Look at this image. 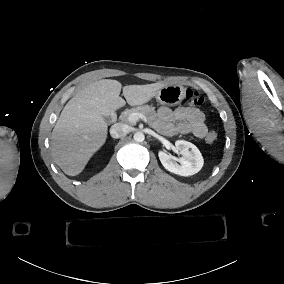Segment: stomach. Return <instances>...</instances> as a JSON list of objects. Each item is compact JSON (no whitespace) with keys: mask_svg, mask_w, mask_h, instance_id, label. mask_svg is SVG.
Returning a JSON list of instances; mask_svg holds the SVG:
<instances>
[{"mask_svg":"<svg viewBox=\"0 0 284 284\" xmlns=\"http://www.w3.org/2000/svg\"><path fill=\"white\" fill-rule=\"evenodd\" d=\"M185 88L182 85H165L158 90L156 100L161 105L176 106L185 98Z\"/></svg>","mask_w":284,"mask_h":284,"instance_id":"1","label":"stomach"}]
</instances>
